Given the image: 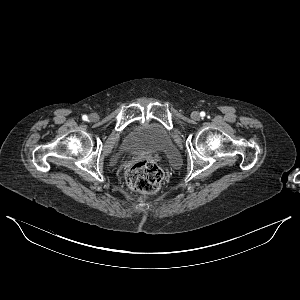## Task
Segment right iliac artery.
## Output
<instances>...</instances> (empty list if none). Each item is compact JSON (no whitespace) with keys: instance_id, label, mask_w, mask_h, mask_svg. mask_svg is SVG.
<instances>
[{"instance_id":"obj_1","label":"right iliac artery","mask_w":300,"mask_h":300,"mask_svg":"<svg viewBox=\"0 0 300 300\" xmlns=\"http://www.w3.org/2000/svg\"><path fill=\"white\" fill-rule=\"evenodd\" d=\"M82 119H83L84 121H87L88 117H87L86 115H83V116H82Z\"/></svg>"}]
</instances>
